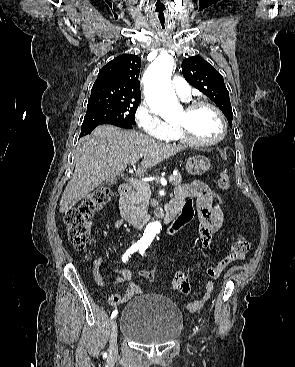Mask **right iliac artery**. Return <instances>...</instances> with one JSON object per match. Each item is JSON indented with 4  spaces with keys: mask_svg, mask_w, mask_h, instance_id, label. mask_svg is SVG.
<instances>
[{
    "mask_svg": "<svg viewBox=\"0 0 295 367\" xmlns=\"http://www.w3.org/2000/svg\"><path fill=\"white\" fill-rule=\"evenodd\" d=\"M141 248L140 245L138 244H134L132 245L126 252L125 254L123 255L122 257V261L124 263H126L128 260H129V257L131 256V254H133L134 252H136L137 250H139ZM117 310H114L111 314V319H113L116 315H117Z\"/></svg>",
    "mask_w": 295,
    "mask_h": 367,
    "instance_id": "82829eb1",
    "label": "right iliac artery"
}]
</instances>
